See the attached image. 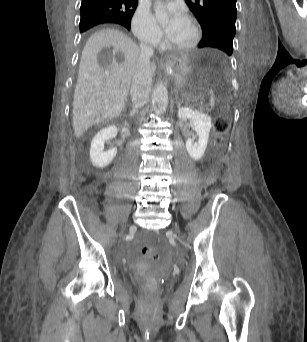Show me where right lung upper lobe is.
<instances>
[{
    "label": "right lung upper lobe",
    "mask_w": 307,
    "mask_h": 342,
    "mask_svg": "<svg viewBox=\"0 0 307 342\" xmlns=\"http://www.w3.org/2000/svg\"><path fill=\"white\" fill-rule=\"evenodd\" d=\"M137 7V0H82L81 10H109L117 13L114 22L130 29L131 18Z\"/></svg>",
    "instance_id": "obj_1"
}]
</instances>
